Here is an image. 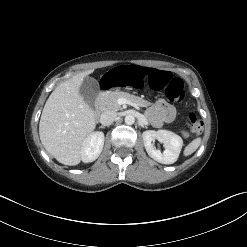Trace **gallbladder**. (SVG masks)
Listing matches in <instances>:
<instances>
[{"label": "gallbladder", "instance_id": "bac80fb5", "mask_svg": "<svg viewBox=\"0 0 247 247\" xmlns=\"http://www.w3.org/2000/svg\"><path fill=\"white\" fill-rule=\"evenodd\" d=\"M80 95L83 97L84 101L93 107L96 96L99 93V85L97 80L92 77H85L82 85L80 87Z\"/></svg>", "mask_w": 247, "mask_h": 247}]
</instances>
